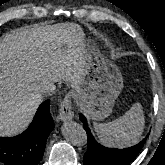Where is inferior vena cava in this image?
I'll list each match as a JSON object with an SVG mask.
<instances>
[{"instance_id":"1","label":"inferior vena cava","mask_w":165,"mask_h":165,"mask_svg":"<svg viewBox=\"0 0 165 165\" xmlns=\"http://www.w3.org/2000/svg\"><path fill=\"white\" fill-rule=\"evenodd\" d=\"M55 91H56V86L53 82L50 81L44 82L41 87V93L48 96L53 95Z\"/></svg>"}]
</instances>
